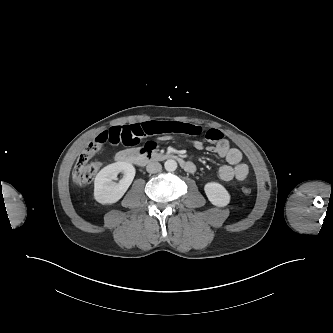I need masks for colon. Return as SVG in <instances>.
<instances>
[{
  "label": "colon",
  "mask_w": 333,
  "mask_h": 333,
  "mask_svg": "<svg viewBox=\"0 0 333 333\" xmlns=\"http://www.w3.org/2000/svg\"><path fill=\"white\" fill-rule=\"evenodd\" d=\"M102 145V141L95 140L91 142L79 155L73 169V180L76 184L85 186L93 181L100 169V163L92 161V158L98 154ZM242 191L246 195L251 193V189L248 187H243Z\"/></svg>",
  "instance_id": "5ec220e1"
}]
</instances>
